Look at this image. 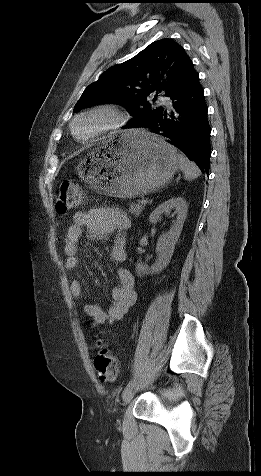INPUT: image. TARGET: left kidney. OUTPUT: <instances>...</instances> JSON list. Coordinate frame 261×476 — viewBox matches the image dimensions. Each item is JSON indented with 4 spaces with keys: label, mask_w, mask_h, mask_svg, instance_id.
I'll return each instance as SVG.
<instances>
[{
    "label": "left kidney",
    "mask_w": 261,
    "mask_h": 476,
    "mask_svg": "<svg viewBox=\"0 0 261 476\" xmlns=\"http://www.w3.org/2000/svg\"><path fill=\"white\" fill-rule=\"evenodd\" d=\"M171 210H175L177 214L176 220L173 222L172 227L167 233L161 235L157 241L156 253L157 260L155 263L148 267L143 263L136 264V271L138 275L159 273L169 264L173 255L175 245L181 234L184 221L187 216L188 205L186 201L181 197H173L163 203H161L149 216L151 223H157L163 213L169 214Z\"/></svg>",
    "instance_id": "left-kidney-1"
}]
</instances>
